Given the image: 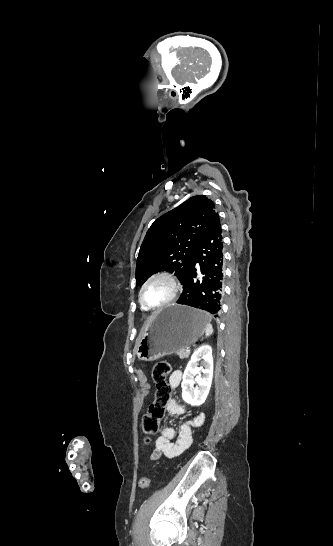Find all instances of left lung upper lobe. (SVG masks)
<instances>
[{"label": "left lung upper lobe", "mask_w": 333, "mask_h": 546, "mask_svg": "<svg viewBox=\"0 0 333 546\" xmlns=\"http://www.w3.org/2000/svg\"><path fill=\"white\" fill-rule=\"evenodd\" d=\"M218 213L214 202L196 195L165 213L148 229L136 262V285L159 271L174 272L182 283L195 248Z\"/></svg>", "instance_id": "5c2ea615"}]
</instances>
